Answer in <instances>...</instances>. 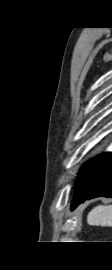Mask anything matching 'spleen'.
I'll return each mask as SVG.
<instances>
[{"label": "spleen", "instance_id": "1", "mask_svg": "<svg viewBox=\"0 0 112 270\" xmlns=\"http://www.w3.org/2000/svg\"><path fill=\"white\" fill-rule=\"evenodd\" d=\"M87 223L92 226L112 227V205H99L87 216Z\"/></svg>", "mask_w": 112, "mask_h": 270}]
</instances>
